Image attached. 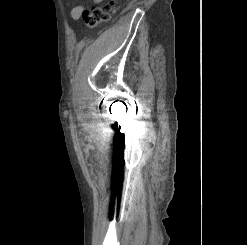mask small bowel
<instances>
[{"label": "small bowel", "instance_id": "small-bowel-1", "mask_svg": "<svg viewBox=\"0 0 247 245\" xmlns=\"http://www.w3.org/2000/svg\"><path fill=\"white\" fill-rule=\"evenodd\" d=\"M102 0H93L94 3H100ZM85 12L83 5H75L70 10V15L72 19L79 20Z\"/></svg>", "mask_w": 247, "mask_h": 245}]
</instances>
